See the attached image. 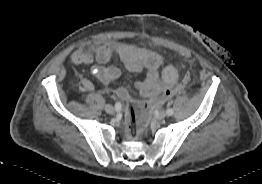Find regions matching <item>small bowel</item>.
I'll use <instances>...</instances> for the list:
<instances>
[{
	"label": "small bowel",
	"mask_w": 262,
	"mask_h": 184,
	"mask_svg": "<svg viewBox=\"0 0 262 184\" xmlns=\"http://www.w3.org/2000/svg\"><path fill=\"white\" fill-rule=\"evenodd\" d=\"M70 60L78 65L89 67L102 83L110 84L120 76L116 66H107L110 62L119 60L132 73L146 71L143 79L135 82L136 89L144 96H156L170 89L179 78L178 69L169 65L160 70L161 56L145 48L115 42L91 44L78 48L70 55ZM96 62L94 65L93 63ZM94 85L88 78L81 77V90L92 91Z\"/></svg>",
	"instance_id": "obj_1"
}]
</instances>
